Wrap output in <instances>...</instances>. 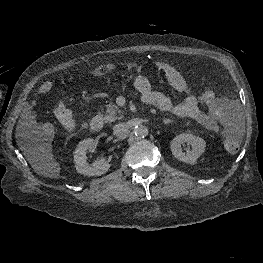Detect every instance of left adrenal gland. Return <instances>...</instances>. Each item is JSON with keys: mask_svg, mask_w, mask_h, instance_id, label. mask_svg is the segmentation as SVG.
<instances>
[{"mask_svg": "<svg viewBox=\"0 0 263 263\" xmlns=\"http://www.w3.org/2000/svg\"><path fill=\"white\" fill-rule=\"evenodd\" d=\"M165 124H167V123H170V120L169 119H166V120H164L163 121Z\"/></svg>", "mask_w": 263, "mask_h": 263, "instance_id": "a2214340", "label": "left adrenal gland"}]
</instances>
